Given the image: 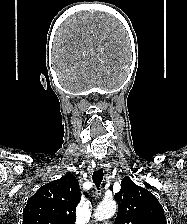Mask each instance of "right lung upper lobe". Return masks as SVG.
I'll return each mask as SVG.
<instances>
[{
    "label": "right lung upper lobe",
    "instance_id": "1",
    "mask_svg": "<svg viewBox=\"0 0 187 224\" xmlns=\"http://www.w3.org/2000/svg\"><path fill=\"white\" fill-rule=\"evenodd\" d=\"M80 200L78 180L68 173L43 185L28 199L22 224H74Z\"/></svg>",
    "mask_w": 187,
    "mask_h": 224
}]
</instances>
